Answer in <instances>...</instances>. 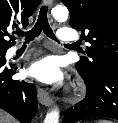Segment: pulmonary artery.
<instances>
[{"instance_id":"e3ab8cb5","label":"pulmonary artery","mask_w":118,"mask_h":123,"mask_svg":"<svg viewBox=\"0 0 118 123\" xmlns=\"http://www.w3.org/2000/svg\"><path fill=\"white\" fill-rule=\"evenodd\" d=\"M58 38L61 41H74L77 39V34L71 28H61L58 30ZM21 48V45L14 46L12 52Z\"/></svg>"}]
</instances>
